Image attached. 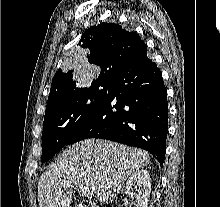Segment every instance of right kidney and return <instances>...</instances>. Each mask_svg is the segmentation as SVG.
Segmentation results:
<instances>
[{"instance_id":"obj_1","label":"right kidney","mask_w":220,"mask_h":207,"mask_svg":"<svg viewBox=\"0 0 220 207\" xmlns=\"http://www.w3.org/2000/svg\"><path fill=\"white\" fill-rule=\"evenodd\" d=\"M134 187L138 192L134 207H148V199L151 191V178L147 170L140 169L129 177L125 187L127 192H130ZM127 203L128 202L125 201L124 205L126 206Z\"/></svg>"}]
</instances>
